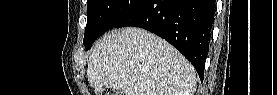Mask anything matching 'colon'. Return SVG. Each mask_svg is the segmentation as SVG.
<instances>
[{
  "instance_id": "5ec220e1",
  "label": "colon",
  "mask_w": 277,
  "mask_h": 95,
  "mask_svg": "<svg viewBox=\"0 0 277 95\" xmlns=\"http://www.w3.org/2000/svg\"><path fill=\"white\" fill-rule=\"evenodd\" d=\"M96 94H98V95H109V94H115V93H114L113 88L107 87V88L103 89L102 91L97 92Z\"/></svg>"
}]
</instances>
